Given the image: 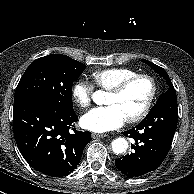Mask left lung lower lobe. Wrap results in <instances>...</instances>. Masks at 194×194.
Listing matches in <instances>:
<instances>
[{
    "label": "left lung lower lobe",
    "instance_id": "obj_1",
    "mask_svg": "<svg viewBox=\"0 0 194 194\" xmlns=\"http://www.w3.org/2000/svg\"><path fill=\"white\" fill-rule=\"evenodd\" d=\"M177 122V98L157 102L141 123L123 132L135 145L131 154L115 160L118 170L129 178L156 170L168 154Z\"/></svg>",
    "mask_w": 194,
    "mask_h": 194
}]
</instances>
